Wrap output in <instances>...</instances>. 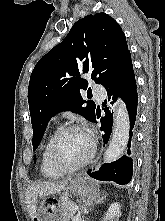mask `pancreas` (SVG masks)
<instances>
[{"label": "pancreas", "mask_w": 165, "mask_h": 221, "mask_svg": "<svg viewBox=\"0 0 165 221\" xmlns=\"http://www.w3.org/2000/svg\"><path fill=\"white\" fill-rule=\"evenodd\" d=\"M73 203L70 201L62 202V219L63 221H69L75 214V211L72 209Z\"/></svg>", "instance_id": "obj_1"}]
</instances>
